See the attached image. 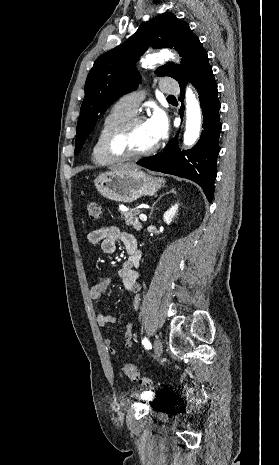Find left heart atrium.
Wrapping results in <instances>:
<instances>
[{
  "label": "left heart atrium",
  "mask_w": 279,
  "mask_h": 465,
  "mask_svg": "<svg viewBox=\"0 0 279 465\" xmlns=\"http://www.w3.org/2000/svg\"><path fill=\"white\" fill-rule=\"evenodd\" d=\"M147 125L156 142L163 138L168 130L167 118L164 113L159 110H156L147 120Z\"/></svg>",
  "instance_id": "1"
}]
</instances>
